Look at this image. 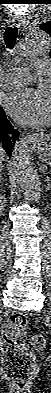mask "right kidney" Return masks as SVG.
Here are the masks:
<instances>
[{
  "instance_id": "ca27d5eb",
  "label": "right kidney",
  "mask_w": 51,
  "mask_h": 393,
  "mask_svg": "<svg viewBox=\"0 0 51 393\" xmlns=\"http://www.w3.org/2000/svg\"><path fill=\"white\" fill-rule=\"evenodd\" d=\"M5 200L1 197V200H0V205H1V208H3L4 206H5Z\"/></svg>"
}]
</instances>
